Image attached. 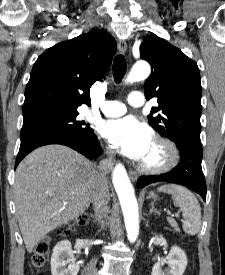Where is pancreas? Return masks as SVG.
<instances>
[{"mask_svg": "<svg viewBox=\"0 0 225 275\" xmlns=\"http://www.w3.org/2000/svg\"><path fill=\"white\" fill-rule=\"evenodd\" d=\"M168 222H169V224L171 225V227L174 228V230H175L176 232H179V231H180V229H179V227H178V224H177V222H176L175 220H173V219H168Z\"/></svg>", "mask_w": 225, "mask_h": 275, "instance_id": "pancreas-1", "label": "pancreas"}]
</instances>
